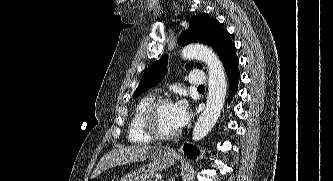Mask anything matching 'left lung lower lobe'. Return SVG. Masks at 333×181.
I'll return each instance as SVG.
<instances>
[{
    "mask_svg": "<svg viewBox=\"0 0 333 181\" xmlns=\"http://www.w3.org/2000/svg\"><path fill=\"white\" fill-rule=\"evenodd\" d=\"M223 65L225 67L228 80L230 83V90H229V101L234 96L237 90V85L239 81V70H238V64L239 60L235 52V46L226 54V56L222 60ZM184 152L185 154L191 158L194 159L197 155V151L194 146L192 145H184Z\"/></svg>",
    "mask_w": 333,
    "mask_h": 181,
    "instance_id": "0a47b994",
    "label": "left lung lower lobe"
}]
</instances>
